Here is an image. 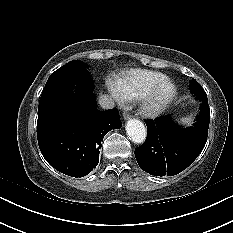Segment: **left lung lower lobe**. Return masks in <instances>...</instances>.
<instances>
[{"label": "left lung lower lobe", "mask_w": 233, "mask_h": 233, "mask_svg": "<svg viewBox=\"0 0 233 233\" xmlns=\"http://www.w3.org/2000/svg\"><path fill=\"white\" fill-rule=\"evenodd\" d=\"M193 127L183 128L170 116L147 120V138L135 149L140 168L154 176H173L186 169L203 150L208 136L210 108L207 95Z\"/></svg>", "instance_id": "1"}]
</instances>
